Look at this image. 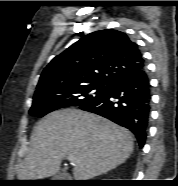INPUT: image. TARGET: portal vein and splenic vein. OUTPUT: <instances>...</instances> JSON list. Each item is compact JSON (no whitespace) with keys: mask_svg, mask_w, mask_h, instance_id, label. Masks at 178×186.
<instances>
[{"mask_svg":"<svg viewBox=\"0 0 178 186\" xmlns=\"http://www.w3.org/2000/svg\"><path fill=\"white\" fill-rule=\"evenodd\" d=\"M68 160H69V161H73V158H72V157H68Z\"/></svg>","mask_w":178,"mask_h":186,"instance_id":"18ae733b","label":"portal vein and splenic vein"}]
</instances>
